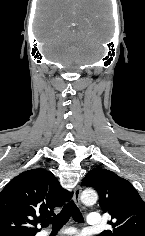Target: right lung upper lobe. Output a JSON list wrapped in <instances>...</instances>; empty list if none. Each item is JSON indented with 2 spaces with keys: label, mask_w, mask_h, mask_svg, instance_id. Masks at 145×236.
I'll list each match as a JSON object with an SVG mask.
<instances>
[{
  "label": "right lung upper lobe",
  "mask_w": 145,
  "mask_h": 236,
  "mask_svg": "<svg viewBox=\"0 0 145 236\" xmlns=\"http://www.w3.org/2000/svg\"><path fill=\"white\" fill-rule=\"evenodd\" d=\"M71 196L49 171L21 173L0 193V236H35L37 223L46 227L53 209L62 207Z\"/></svg>",
  "instance_id": "right-lung-upper-lobe-1"
}]
</instances>
